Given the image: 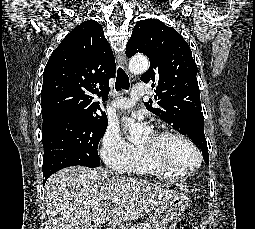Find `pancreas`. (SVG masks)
<instances>
[{"mask_svg":"<svg viewBox=\"0 0 255 229\" xmlns=\"http://www.w3.org/2000/svg\"><path fill=\"white\" fill-rule=\"evenodd\" d=\"M129 229H152L151 225L147 222L135 224L133 226H130Z\"/></svg>","mask_w":255,"mask_h":229,"instance_id":"obj_1","label":"pancreas"}]
</instances>
